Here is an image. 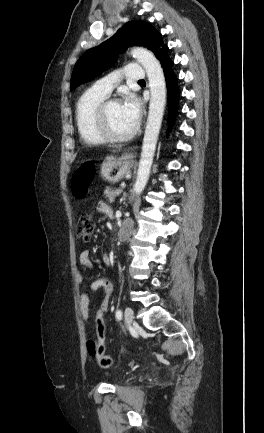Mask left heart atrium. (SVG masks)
Listing matches in <instances>:
<instances>
[{
	"label": "left heart atrium",
	"mask_w": 264,
	"mask_h": 433,
	"mask_svg": "<svg viewBox=\"0 0 264 433\" xmlns=\"http://www.w3.org/2000/svg\"><path fill=\"white\" fill-rule=\"evenodd\" d=\"M122 106L129 118L137 123L141 114V105L138 98L133 94H128L122 102Z\"/></svg>",
	"instance_id": "1"
}]
</instances>
